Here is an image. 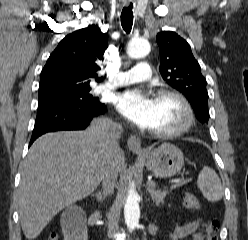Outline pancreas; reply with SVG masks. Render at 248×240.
Wrapping results in <instances>:
<instances>
[{"label":"pancreas","mask_w":248,"mask_h":240,"mask_svg":"<svg viewBox=\"0 0 248 240\" xmlns=\"http://www.w3.org/2000/svg\"><path fill=\"white\" fill-rule=\"evenodd\" d=\"M148 187L152 200L155 201L157 204L164 203V198L167 194V191L166 190L161 191L160 189L156 188V185L148 186Z\"/></svg>","instance_id":"cf45deb5"}]
</instances>
